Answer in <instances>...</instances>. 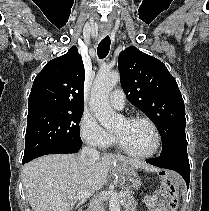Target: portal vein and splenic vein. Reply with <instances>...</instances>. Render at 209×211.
Listing matches in <instances>:
<instances>
[{"instance_id": "18ae733b", "label": "portal vein and splenic vein", "mask_w": 209, "mask_h": 211, "mask_svg": "<svg viewBox=\"0 0 209 211\" xmlns=\"http://www.w3.org/2000/svg\"><path fill=\"white\" fill-rule=\"evenodd\" d=\"M92 194L90 192H81L77 195H75L72 199L74 201H77V200H81V199H85V198H89ZM125 195L124 192H120V196L123 197ZM60 200V199H59Z\"/></svg>"}]
</instances>
